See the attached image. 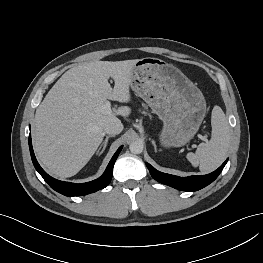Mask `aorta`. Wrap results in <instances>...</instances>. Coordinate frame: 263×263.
I'll list each match as a JSON object with an SVG mask.
<instances>
[{"label": "aorta", "mask_w": 263, "mask_h": 263, "mask_svg": "<svg viewBox=\"0 0 263 263\" xmlns=\"http://www.w3.org/2000/svg\"><path fill=\"white\" fill-rule=\"evenodd\" d=\"M129 149L133 154H140L143 151V143L140 141H133L130 143Z\"/></svg>", "instance_id": "obj_1"}]
</instances>
